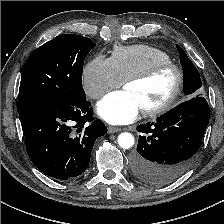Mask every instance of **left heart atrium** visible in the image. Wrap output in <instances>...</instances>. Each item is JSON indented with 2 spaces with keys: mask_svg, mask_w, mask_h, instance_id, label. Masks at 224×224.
<instances>
[{
  "mask_svg": "<svg viewBox=\"0 0 224 224\" xmlns=\"http://www.w3.org/2000/svg\"><path fill=\"white\" fill-rule=\"evenodd\" d=\"M141 110L137 97L127 90L109 93L97 104L98 115L114 125L134 121Z\"/></svg>",
  "mask_w": 224,
  "mask_h": 224,
  "instance_id": "obj_1",
  "label": "left heart atrium"
}]
</instances>
